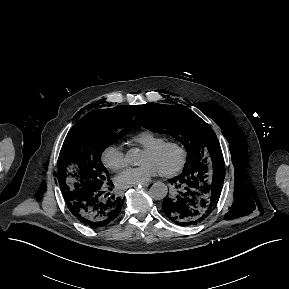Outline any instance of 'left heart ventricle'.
I'll return each instance as SVG.
<instances>
[{
    "mask_svg": "<svg viewBox=\"0 0 289 289\" xmlns=\"http://www.w3.org/2000/svg\"><path fill=\"white\" fill-rule=\"evenodd\" d=\"M180 154L177 149L169 147L159 154H151L144 151L141 157V164H152L160 172L173 169L179 162Z\"/></svg>",
    "mask_w": 289,
    "mask_h": 289,
    "instance_id": "obj_1",
    "label": "left heart ventricle"
}]
</instances>
